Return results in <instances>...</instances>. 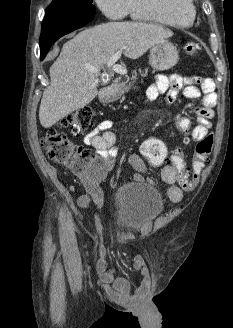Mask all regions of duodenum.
<instances>
[{
  "instance_id": "obj_1",
  "label": "duodenum",
  "mask_w": 233,
  "mask_h": 328,
  "mask_svg": "<svg viewBox=\"0 0 233 328\" xmlns=\"http://www.w3.org/2000/svg\"><path fill=\"white\" fill-rule=\"evenodd\" d=\"M118 91V85L116 83L104 88L99 94V98L102 102H110L114 99Z\"/></svg>"
}]
</instances>
